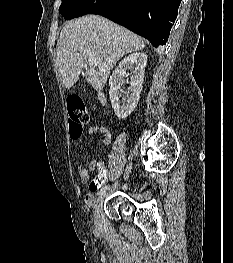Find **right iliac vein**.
I'll use <instances>...</instances> for the list:
<instances>
[{
  "mask_svg": "<svg viewBox=\"0 0 233 263\" xmlns=\"http://www.w3.org/2000/svg\"><path fill=\"white\" fill-rule=\"evenodd\" d=\"M131 170V165L127 167L125 176L127 177L129 172ZM105 194H101L99 198L97 199L95 208H94V222L96 225H101L102 224V208H103V203L105 200Z\"/></svg>",
  "mask_w": 233,
  "mask_h": 263,
  "instance_id": "obj_1",
  "label": "right iliac vein"
}]
</instances>
